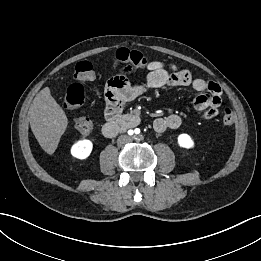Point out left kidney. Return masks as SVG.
I'll return each mask as SVG.
<instances>
[{
	"instance_id": "1",
	"label": "left kidney",
	"mask_w": 261,
	"mask_h": 261,
	"mask_svg": "<svg viewBox=\"0 0 261 261\" xmlns=\"http://www.w3.org/2000/svg\"><path fill=\"white\" fill-rule=\"evenodd\" d=\"M178 144L180 147L190 149L194 147V141L188 134H180L178 136Z\"/></svg>"
}]
</instances>
